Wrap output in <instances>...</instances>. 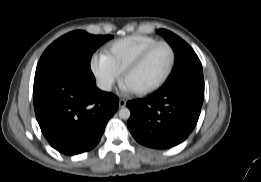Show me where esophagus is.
I'll return each mask as SVG.
<instances>
[{
  "label": "esophagus",
  "mask_w": 261,
  "mask_h": 182,
  "mask_svg": "<svg viewBox=\"0 0 261 182\" xmlns=\"http://www.w3.org/2000/svg\"><path fill=\"white\" fill-rule=\"evenodd\" d=\"M125 105H126V100L121 98L119 100V108H123V107H125Z\"/></svg>",
  "instance_id": "esophagus-1"
}]
</instances>
